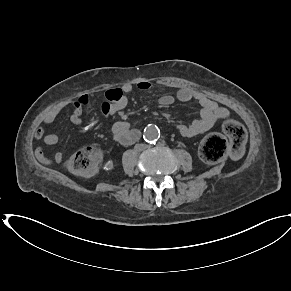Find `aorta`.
<instances>
[{
    "label": "aorta",
    "mask_w": 291,
    "mask_h": 291,
    "mask_svg": "<svg viewBox=\"0 0 291 291\" xmlns=\"http://www.w3.org/2000/svg\"><path fill=\"white\" fill-rule=\"evenodd\" d=\"M144 139L148 143H152L158 140L160 137V130L156 125L149 124L148 126L145 127L144 129Z\"/></svg>",
    "instance_id": "1"
}]
</instances>
